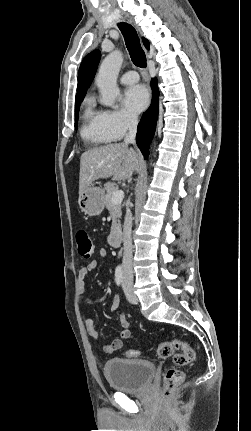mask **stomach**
Masks as SVG:
<instances>
[{
    "label": "stomach",
    "mask_w": 251,
    "mask_h": 431,
    "mask_svg": "<svg viewBox=\"0 0 251 431\" xmlns=\"http://www.w3.org/2000/svg\"><path fill=\"white\" fill-rule=\"evenodd\" d=\"M79 207L88 216H97L102 213L105 200L104 190L99 187L89 186L79 195Z\"/></svg>",
    "instance_id": "1"
}]
</instances>
